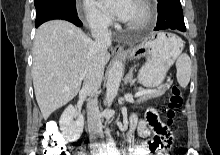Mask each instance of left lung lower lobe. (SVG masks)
Masks as SVG:
<instances>
[{"mask_svg": "<svg viewBox=\"0 0 220 155\" xmlns=\"http://www.w3.org/2000/svg\"><path fill=\"white\" fill-rule=\"evenodd\" d=\"M157 10L155 31L165 29L186 31L180 0H161L158 2Z\"/></svg>", "mask_w": 220, "mask_h": 155, "instance_id": "0a47b994", "label": "left lung lower lobe"}]
</instances>
